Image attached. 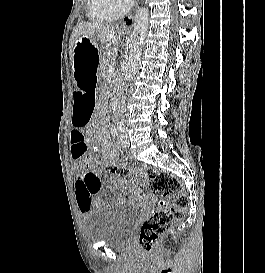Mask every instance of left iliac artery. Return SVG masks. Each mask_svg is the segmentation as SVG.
<instances>
[{
    "label": "left iliac artery",
    "instance_id": "left-iliac-artery-1",
    "mask_svg": "<svg viewBox=\"0 0 265 273\" xmlns=\"http://www.w3.org/2000/svg\"><path fill=\"white\" fill-rule=\"evenodd\" d=\"M117 128H118L119 131L124 132L125 126H124L123 122H118L117 123Z\"/></svg>",
    "mask_w": 265,
    "mask_h": 273
}]
</instances>
